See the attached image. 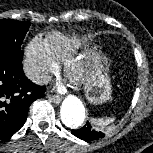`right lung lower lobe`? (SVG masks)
Segmentation results:
<instances>
[{
  "label": "right lung lower lobe",
  "instance_id": "98d812e1",
  "mask_svg": "<svg viewBox=\"0 0 153 153\" xmlns=\"http://www.w3.org/2000/svg\"><path fill=\"white\" fill-rule=\"evenodd\" d=\"M43 96L44 90L23 73L22 60L0 58V140L24 125L31 103Z\"/></svg>",
  "mask_w": 153,
  "mask_h": 153
}]
</instances>
